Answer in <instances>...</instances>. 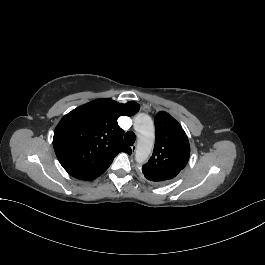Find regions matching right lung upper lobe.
Masks as SVG:
<instances>
[{
  "label": "right lung upper lobe",
  "instance_id": "obj_1",
  "mask_svg": "<svg viewBox=\"0 0 265 265\" xmlns=\"http://www.w3.org/2000/svg\"><path fill=\"white\" fill-rule=\"evenodd\" d=\"M139 104L109 98L84 104L65 115L54 131L53 146L62 167L73 177L91 181L103 174L120 152L131 154L117 119L132 116Z\"/></svg>",
  "mask_w": 265,
  "mask_h": 265
}]
</instances>
